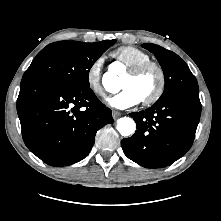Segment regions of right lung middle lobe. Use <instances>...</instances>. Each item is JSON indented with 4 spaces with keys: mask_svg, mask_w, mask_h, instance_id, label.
Here are the masks:
<instances>
[{
    "mask_svg": "<svg viewBox=\"0 0 221 221\" xmlns=\"http://www.w3.org/2000/svg\"><path fill=\"white\" fill-rule=\"evenodd\" d=\"M115 42L116 40L51 43L38 53L22 79L48 78L74 86L90 87L88 75L91 67Z\"/></svg>",
    "mask_w": 221,
    "mask_h": 221,
    "instance_id": "obj_1",
    "label": "right lung middle lobe"
}]
</instances>
